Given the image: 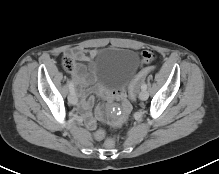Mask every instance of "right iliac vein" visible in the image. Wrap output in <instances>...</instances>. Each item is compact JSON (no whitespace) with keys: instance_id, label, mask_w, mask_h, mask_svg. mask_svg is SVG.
Returning a JSON list of instances; mask_svg holds the SVG:
<instances>
[{"instance_id":"obj_1","label":"right iliac vein","mask_w":219,"mask_h":174,"mask_svg":"<svg viewBox=\"0 0 219 174\" xmlns=\"http://www.w3.org/2000/svg\"><path fill=\"white\" fill-rule=\"evenodd\" d=\"M69 103L75 105L77 103V97L75 93H70L68 96Z\"/></svg>"}]
</instances>
